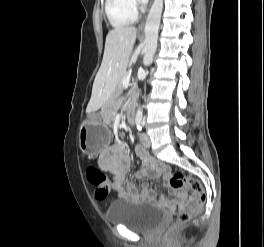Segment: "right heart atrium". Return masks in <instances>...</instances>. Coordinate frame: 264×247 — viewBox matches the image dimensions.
Masks as SVG:
<instances>
[{
	"label": "right heart atrium",
	"instance_id": "d8ad5b80",
	"mask_svg": "<svg viewBox=\"0 0 264 247\" xmlns=\"http://www.w3.org/2000/svg\"><path fill=\"white\" fill-rule=\"evenodd\" d=\"M129 6L133 9H137L139 6L138 0H127Z\"/></svg>",
	"mask_w": 264,
	"mask_h": 247
}]
</instances>
